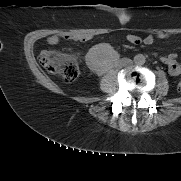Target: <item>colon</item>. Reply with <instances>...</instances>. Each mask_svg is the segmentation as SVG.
Masks as SVG:
<instances>
[{
    "mask_svg": "<svg viewBox=\"0 0 181 181\" xmlns=\"http://www.w3.org/2000/svg\"><path fill=\"white\" fill-rule=\"evenodd\" d=\"M39 61L46 71L61 77L68 83L74 82L79 75L75 60L63 54L43 51L39 56ZM178 90L181 93V81L178 83Z\"/></svg>",
    "mask_w": 181,
    "mask_h": 181,
    "instance_id": "5ec220e1",
    "label": "colon"
}]
</instances>
